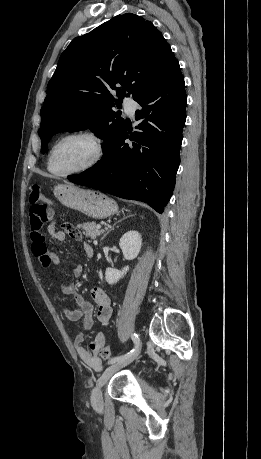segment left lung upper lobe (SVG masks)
<instances>
[{"label": "left lung upper lobe", "instance_id": "5c2ea615", "mask_svg": "<svg viewBox=\"0 0 261 459\" xmlns=\"http://www.w3.org/2000/svg\"><path fill=\"white\" fill-rule=\"evenodd\" d=\"M176 60L161 32L132 13L73 39L47 86L41 109L42 153L54 134L89 128L104 140V157L125 128L113 108H121L125 96L136 100Z\"/></svg>", "mask_w": 261, "mask_h": 459}]
</instances>
